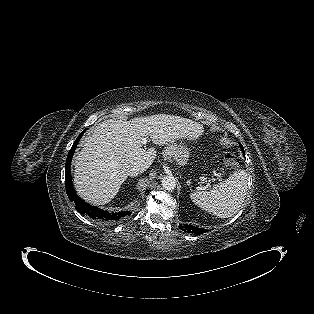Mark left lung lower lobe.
<instances>
[{
	"mask_svg": "<svg viewBox=\"0 0 314 314\" xmlns=\"http://www.w3.org/2000/svg\"><path fill=\"white\" fill-rule=\"evenodd\" d=\"M180 228H181V230H184V231H187L190 233H194V234H202V233L206 232L205 229H201V228L190 226V225H181L180 224Z\"/></svg>",
	"mask_w": 314,
	"mask_h": 314,
	"instance_id": "0a47b994",
	"label": "left lung lower lobe"
}]
</instances>
